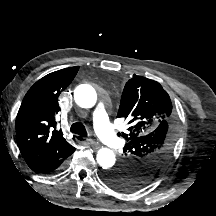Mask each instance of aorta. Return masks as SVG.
Segmentation results:
<instances>
[{
  "label": "aorta",
  "mask_w": 216,
  "mask_h": 216,
  "mask_svg": "<svg viewBox=\"0 0 216 216\" xmlns=\"http://www.w3.org/2000/svg\"><path fill=\"white\" fill-rule=\"evenodd\" d=\"M74 100L82 108H92L97 102L95 89L90 85H80L74 91ZM97 163L103 169H110L115 164V154L109 148H101L96 155Z\"/></svg>",
  "instance_id": "aorta-1"
}]
</instances>
